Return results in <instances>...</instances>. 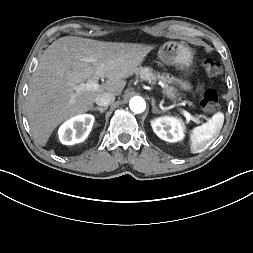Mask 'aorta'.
I'll return each mask as SVG.
<instances>
[{
  "label": "aorta",
  "instance_id": "762f6f07",
  "mask_svg": "<svg viewBox=\"0 0 253 253\" xmlns=\"http://www.w3.org/2000/svg\"><path fill=\"white\" fill-rule=\"evenodd\" d=\"M130 109L134 113H142L146 109V102L142 97H133L129 102Z\"/></svg>",
  "mask_w": 253,
  "mask_h": 253
}]
</instances>
